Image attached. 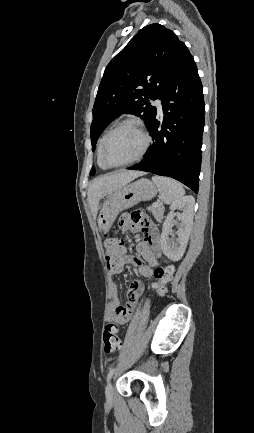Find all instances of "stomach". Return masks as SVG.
<instances>
[{
    "mask_svg": "<svg viewBox=\"0 0 254 433\" xmlns=\"http://www.w3.org/2000/svg\"><path fill=\"white\" fill-rule=\"evenodd\" d=\"M156 194V185L148 179H140L122 186L104 202L97 220L99 229L108 232L120 212L140 201L151 200Z\"/></svg>",
    "mask_w": 254,
    "mask_h": 433,
    "instance_id": "obj_1",
    "label": "stomach"
}]
</instances>
